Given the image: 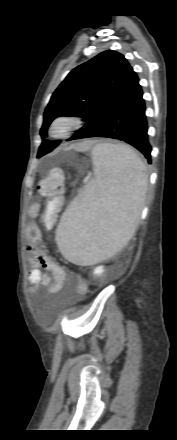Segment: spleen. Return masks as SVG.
Here are the masks:
<instances>
[{
  "label": "spleen",
  "mask_w": 177,
  "mask_h": 440,
  "mask_svg": "<svg viewBox=\"0 0 177 440\" xmlns=\"http://www.w3.org/2000/svg\"><path fill=\"white\" fill-rule=\"evenodd\" d=\"M95 180L70 203L55 240L62 255L79 265L104 261L133 237L147 187L146 166L128 146L93 148Z\"/></svg>",
  "instance_id": "obj_1"
}]
</instances>
